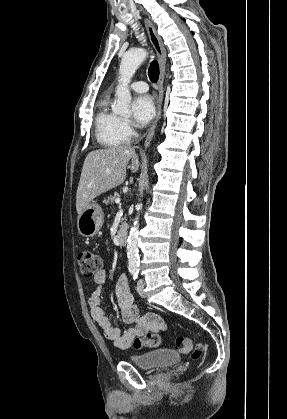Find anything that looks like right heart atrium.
Here are the masks:
<instances>
[{
	"instance_id": "obj_1",
	"label": "right heart atrium",
	"mask_w": 287,
	"mask_h": 419,
	"mask_svg": "<svg viewBox=\"0 0 287 419\" xmlns=\"http://www.w3.org/2000/svg\"><path fill=\"white\" fill-rule=\"evenodd\" d=\"M121 129L127 139H130L135 135V130L131 122L127 119H121Z\"/></svg>"
}]
</instances>
